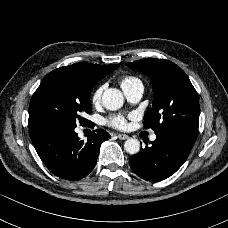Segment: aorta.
<instances>
[{
	"label": "aorta",
	"instance_id": "aorta-1",
	"mask_svg": "<svg viewBox=\"0 0 228 228\" xmlns=\"http://www.w3.org/2000/svg\"><path fill=\"white\" fill-rule=\"evenodd\" d=\"M102 102L108 110H118L123 106L124 97L120 90L116 88L106 89L102 95ZM124 149L129 154H136L140 150V142L137 139L130 138L126 140Z\"/></svg>",
	"mask_w": 228,
	"mask_h": 228
}]
</instances>
